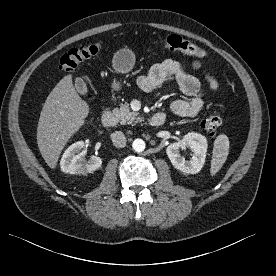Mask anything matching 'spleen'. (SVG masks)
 I'll return each instance as SVG.
<instances>
[{"label":"spleen","mask_w":276,"mask_h":276,"mask_svg":"<svg viewBox=\"0 0 276 276\" xmlns=\"http://www.w3.org/2000/svg\"><path fill=\"white\" fill-rule=\"evenodd\" d=\"M212 153L210 173L214 176L222 168L229 154V139L227 135L220 134L216 137Z\"/></svg>","instance_id":"3e777b00"}]
</instances>
